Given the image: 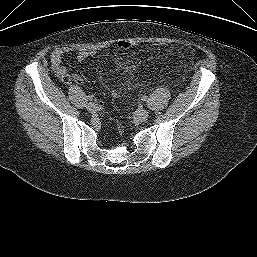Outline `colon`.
Returning <instances> with one entry per match:
<instances>
[{
	"mask_svg": "<svg viewBox=\"0 0 257 257\" xmlns=\"http://www.w3.org/2000/svg\"><path fill=\"white\" fill-rule=\"evenodd\" d=\"M118 47L123 50H129L136 47V43L128 39H122L118 42ZM59 77L63 82H68L66 75H59Z\"/></svg>",
	"mask_w": 257,
	"mask_h": 257,
	"instance_id": "colon-1",
	"label": "colon"
}]
</instances>
